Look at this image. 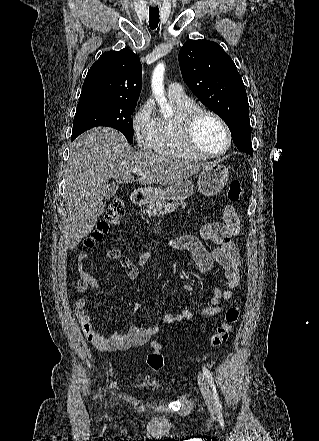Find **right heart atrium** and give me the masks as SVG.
Returning <instances> with one entry per match:
<instances>
[{
	"instance_id": "right-heart-atrium-1",
	"label": "right heart atrium",
	"mask_w": 319,
	"mask_h": 441,
	"mask_svg": "<svg viewBox=\"0 0 319 441\" xmlns=\"http://www.w3.org/2000/svg\"><path fill=\"white\" fill-rule=\"evenodd\" d=\"M158 118L153 104L144 102L132 117L131 127L137 146L144 151L151 150L157 135Z\"/></svg>"
}]
</instances>
